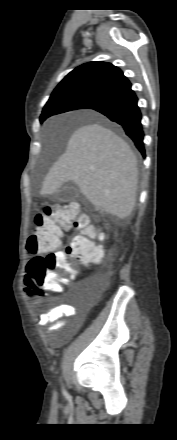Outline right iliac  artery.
Returning a JSON list of instances; mask_svg holds the SVG:
<instances>
[{"label":"right iliac artery","instance_id":"obj_1","mask_svg":"<svg viewBox=\"0 0 177 440\" xmlns=\"http://www.w3.org/2000/svg\"><path fill=\"white\" fill-rule=\"evenodd\" d=\"M63 393H64V394H66V391H65V390H63Z\"/></svg>","mask_w":177,"mask_h":440}]
</instances>
